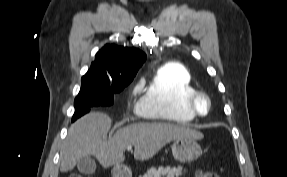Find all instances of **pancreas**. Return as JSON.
I'll return each mask as SVG.
<instances>
[{"label":"pancreas","mask_w":287,"mask_h":177,"mask_svg":"<svg viewBox=\"0 0 287 177\" xmlns=\"http://www.w3.org/2000/svg\"><path fill=\"white\" fill-rule=\"evenodd\" d=\"M183 174L182 167L150 168L143 177H179Z\"/></svg>","instance_id":"obj_1"}]
</instances>
